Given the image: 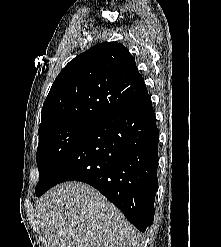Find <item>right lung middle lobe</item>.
<instances>
[{"label": "right lung middle lobe", "mask_w": 221, "mask_h": 247, "mask_svg": "<svg viewBox=\"0 0 221 247\" xmlns=\"http://www.w3.org/2000/svg\"><path fill=\"white\" fill-rule=\"evenodd\" d=\"M95 125L77 122L39 131V182L35 189L36 194L49 182L69 152Z\"/></svg>", "instance_id": "right-lung-middle-lobe-1"}]
</instances>
